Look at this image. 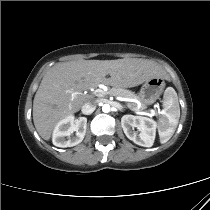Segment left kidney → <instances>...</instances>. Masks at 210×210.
<instances>
[{"mask_svg": "<svg viewBox=\"0 0 210 210\" xmlns=\"http://www.w3.org/2000/svg\"><path fill=\"white\" fill-rule=\"evenodd\" d=\"M121 126L128 139L137 145L151 147L155 140L156 122L143 116L124 115L121 118ZM139 130V134L134 131Z\"/></svg>", "mask_w": 210, "mask_h": 210, "instance_id": "left-kidney-1", "label": "left kidney"}]
</instances>
